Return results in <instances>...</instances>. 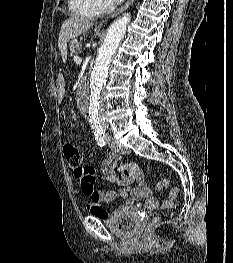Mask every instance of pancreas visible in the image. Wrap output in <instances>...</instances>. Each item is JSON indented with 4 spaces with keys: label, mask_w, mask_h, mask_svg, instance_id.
Listing matches in <instances>:
<instances>
[{
    "label": "pancreas",
    "mask_w": 233,
    "mask_h": 263,
    "mask_svg": "<svg viewBox=\"0 0 233 263\" xmlns=\"http://www.w3.org/2000/svg\"><path fill=\"white\" fill-rule=\"evenodd\" d=\"M69 47H70V51H71V53L74 54V53H76L77 50L80 49L81 44L72 41V42L70 43Z\"/></svg>",
    "instance_id": "obj_1"
}]
</instances>
